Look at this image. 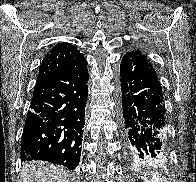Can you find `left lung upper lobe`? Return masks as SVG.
<instances>
[{
  "instance_id": "left-lung-upper-lobe-1",
  "label": "left lung upper lobe",
  "mask_w": 196,
  "mask_h": 182,
  "mask_svg": "<svg viewBox=\"0 0 196 182\" xmlns=\"http://www.w3.org/2000/svg\"><path fill=\"white\" fill-rule=\"evenodd\" d=\"M128 55H131L135 59L142 61L144 63H147L149 66L152 67L151 63L147 60V57L141 53L138 49L136 51L128 52L126 53ZM153 68V67H152Z\"/></svg>"
}]
</instances>
